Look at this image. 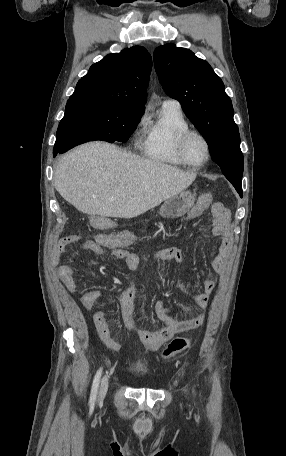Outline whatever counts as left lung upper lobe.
I'll return each mask as SVG.
<instances>
[{"label": "left lung upper lobe", "mask_w": 286, "mask_h": 456, "mask_svg": "<svg viewBox=\"0 0 286 456\" xmlns=\"http://www.w3.org/2000/svg\"><path fill=\"white\" fill-rule=\"evenodd\" d=\"M154 64L166 94L177 99L205 138L212 160L223 174L242 177L243 154L231 99L207 61L174 44L154 51Z\"/></svg>", "instance_id": "left-lung-upper-lobe-1"}]
</instances>
